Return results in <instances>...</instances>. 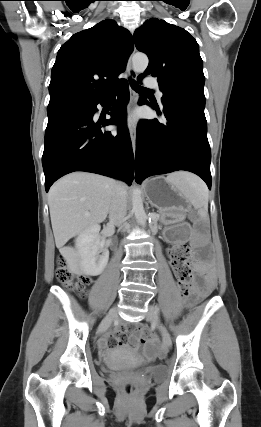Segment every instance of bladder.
Returning <instances> with one entry per match:
<instances>
[{
	"instance_id": "1",
	"label": "bladder",
	"mask_w": 261,
	"mask_h": 427,
	"mask_svg": "<svg viewBox=\"0 0 261 427\" xmlns=\"http://www.w3.org/2000/svg\"><path fill=\"white\" fill-rule=\"evenodd\" d=\"M148 374L155 379H160L165 375V368L163 366H153L148 369Z\"/></svg>"
}]
</instances>
